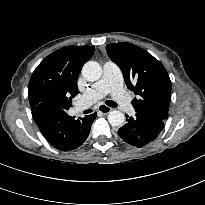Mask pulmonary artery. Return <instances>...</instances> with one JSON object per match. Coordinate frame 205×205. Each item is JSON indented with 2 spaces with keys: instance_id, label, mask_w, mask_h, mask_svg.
I'll return each mask as SVG.
<instances>
[{
  "instance_id": "e3ab8cb5",
  "label": "pulmonary artery",
  "mask_w": 205,
  "mask_h": 205,
  "mask_svg": "<svg viewBox=\"0 0 205 205\" xmlns=\"http://www.w3.org/2000/svg\"><path fill=\"white\" fill-rule=\"evenodd\" d=\"M108 93L112 95L123 112L129 115L135 113L131 100L123 88L121 71L113 62H106L103 65V75L101 79L95 82L83 94L79 103V108L88 107L94 104Z\"/></svg>"
}]
</instances>
